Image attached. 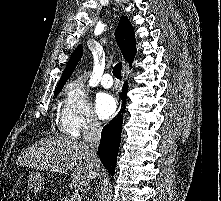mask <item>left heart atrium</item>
<instances>
[{"mask_svg":"<svg viewBox=\"0 0 221 201\" xmlns=\"http://www.w3.org/2000/svg\"><path fill=\"white\" fill-rule=\"evenodd\" d=\"M117 109L115 97L107 92L99 93L95 100V110L101 119H107L114 114Z\"/></svg>","mask_w":221,"mask_h":201,"instance_id":"left-heart-atrium-1","label":"left heart atrium"}]
</instances>
